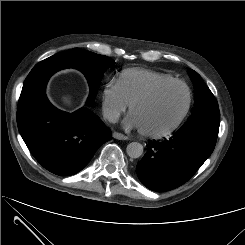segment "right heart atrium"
Instances as JSON below:
<instances>
[{"instance_id":"obj_1","label":"right heart atrium","mask_w":245,"mask_h":245,"mask_svg":"<svg viewBox=\"0 0 245 245\" xmlns=\"http://www.w3.org/2000/svg\"><path fill=\"white\" fill-rule=\"evenodd\" d=\"M128 103L124 99L117 83H107L101 94V109L105 119L116 122L127 110Z\"/></svg>"}]
</instances>
